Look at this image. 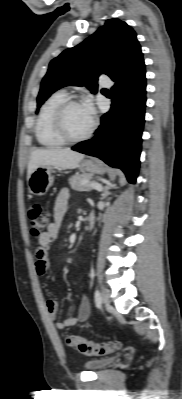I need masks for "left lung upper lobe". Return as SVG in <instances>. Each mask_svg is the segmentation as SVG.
<instances>
[{"mask_svg": "<svg viewBox=\"0 0 182 399\" xmlns=\"http://www.w3.org/2000/svg\"><path fill=\"white\" fill-rule=\"evenodd\" d=\"M135 31L119 19H109L79 45L54 58L42 80L37 107L61 87L86 86L97 92L100 74L117 82L144 62Z\"/></svg>", "mask_w": 182, "mask_h": 399, "instance_id": "left-lung-upper-lobe-1", "label": "left lung upper lobe"}]
</instances>
